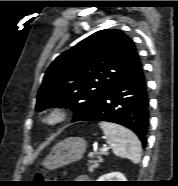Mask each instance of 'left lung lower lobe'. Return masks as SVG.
<instances>
[{
	"instance_id": "0a47b994",
	"label": "left lung lower lobe",
	"mask_w": 178,
	"mask_h": 186,
	"mask_svg": "<svg viewBox=\"0 0 178 186\" xmlns=\"http://www.w3.org/2000/svg\"><path fill=\"white\" fill-rule=\"evenodd\" d=\"M74 121H107L134 131L146 145L149 98L142 65L109 88L101 101Z\"/></svg>"
}]
</instances>
